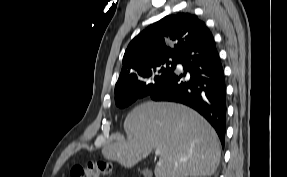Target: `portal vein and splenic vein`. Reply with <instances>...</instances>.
<instances>
[{
	"mask_svg": "<svg viewBox=\"0 0 287 177\" xmlns=\"http://www.w3.org/2000/svg\"><path fill=\"white\" fill-rule=\"evenodd\" d=\"M160 153H161V152H160L159 149H156V150H155V154H156V155H160Z\"/></svg>",
	"mask_w": 287,
	"mask_h": 177,
	"instance_id": "obj_1",
	"label": "portal vein and splenic vein"
}]
</instances>
